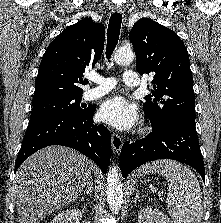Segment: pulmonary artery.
Instances as JSON below:
<instances>
[{
    "label": "pulmonary artery",
    "mask_w": 221,
    "mask_h": 223,
    "mask_svg": "<svg viewBox=\"0 0 221 223\" xmlns=\"http://www.w3.org/2000/svg\"><path fill=\"white\" fill-rule=\"evenodd\" d=\"M123 82L130 87L138 86L140 83V79L135 70L128 69L123 73ZM89 80L95 84L96 87L90 88L85 92V98L88 100L96 99L106 94L110 90H112L116 82L113 77H104L100 75H91Z\"/></svg>",
    "instance_id": "obj_1"
}]
</instances>
